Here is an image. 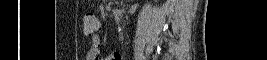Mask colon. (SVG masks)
Segmentation results:
<instances>
[{"instance_id": "colon-1", "label": "colon", "mask_w": 267, "mask_h": 60, "mask_svg": "<svg viewBox=\"0 0 267 60\" xmlns=\"http://www.w3.org/2000/svg\"><path fill=\"white\" fill-rule=\"evenodd\" d=\"M98 21L92 14H86L84 16V31L87 35H93L97 32Z\"/></svg>"}]
</instances>
